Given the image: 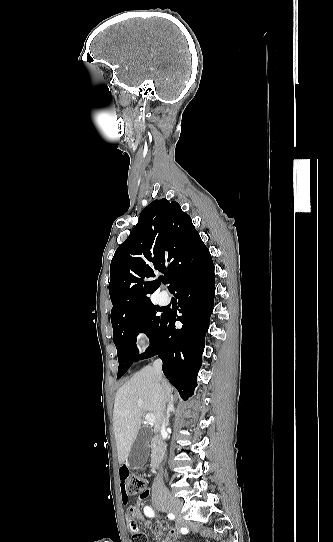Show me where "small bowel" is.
<instances>
[{
	"label": "small bowel",
	"mask_w": 333,
	"mask_h": 542,
	"mask_svg": "<svg viewBox=\"0 0 333 542\" xmlns=\"http://www.w3.org/2000/svg\"><path fill=\"white\" fill-rule=\"evenodd\" d=\"M128 469L125 465L120 467L119 470V478L121 481V498L122 502L124 504L128 501V496L126 493V490L124 488V482L129 478V475L127 474ZM151 490L146 489L141 497H139L136 505L130 506L127 510L126 517L127 521L131 523L132 519L141 520L145 526H149V521L146 519V513L145 511H142L141 508L145 504V500L148 499L151 496ZM162 531L167 532V537L161 542H174L175 539H177L180 535L185 533V529L180 526L176 525L175 527H171L167 522H162L159 524V529L156 531V535L159 536Z\"/></svg>",
	"instance_id": "1"
}]
</instances>
